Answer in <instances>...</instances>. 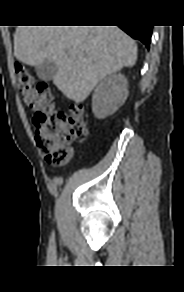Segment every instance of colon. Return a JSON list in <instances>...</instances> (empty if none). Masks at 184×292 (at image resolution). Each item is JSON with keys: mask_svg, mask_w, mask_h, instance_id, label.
<instances>
[{"mask_svg": "<svg viewBox=\"0 0 184 292\" xmlns=\"http://www.w3.org/2000/svg\"><path fill=\"white\" fill-rule=\"evenodd\" d=\"M16 84L25 104L35 111V140L45 160L51 165L66 163L72 155V143L82 142L88 134L84 109L79 104L69 112L54 109L55 95L45 82H36L22 64H15Z\"/></svg>", "mask_w": 184, "mask_h": 292, "instance_id": "obj_1", "label": "colon"}]
</instances>
